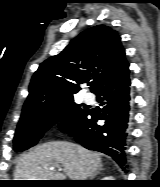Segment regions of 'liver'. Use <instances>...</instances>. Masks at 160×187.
I'll use <instances>...</instances> for the list:
<instances>
[{
  "label": "liver",
  "mask_w": 160,
  "mask_h": 187,
  "mask_svg": "<svg viewBox=\"0 0 160 187\" xmlns=\"http://www.w3.org/2000/svg\"><path fill=\"white\" fill-rule=\"evenodd\" d=\"M101 157L79 145L47 142L36 146L17 163L15 180H59L56 168L63 167L70 180H87L100 168Z\"/></svg>",
  "instance_id": "liver-1"
}]
</instances>
